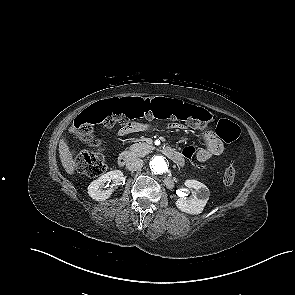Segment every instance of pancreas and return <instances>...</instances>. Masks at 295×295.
<instances>
[{"instance_id": "obj_1", "label": "pancreas", "mask_w": 295, "mask_h": 295, "mask_svg": "<svg viewBox=\"0 0 295 295\" xmlns=\"http://www.w3.org/2000/svg\"><path fill=\"white\" fill-rule=\"evenodd\" d=\"M154 146L153 145H149L145 142L141 143H135L133 145H131L129 147V154L131 156H137V157H144L146 156L148 153H150L152 150H154Z\"/></svg>"}]
</instances>
